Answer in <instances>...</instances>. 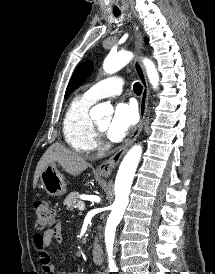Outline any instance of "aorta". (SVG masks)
Listing matches in <instances>:
<instances>
[{"label": "aorta", "instance_id": "762f6f07", "mask_svg": "<svg viewBox=\"0 0 215 274\" xmlns=\"http://www.w3.org/2000/svg\"><path fill=\"white\" fill-rule=\"evenodd\" d=\"M133 54L128 51H120L115 54H109L103 63V69L106 73L112 74L127 65L132 59ZM147 75L150 83L157 88L159 75L154 63L149 59H144ZM113 108L108 103H101L92 108L90 115L93 118H100L103 115H110ZM142 147L133 146L122 160L115 181V201L107 222L106 245L108 251V264L112 271H116V264L113 259V246L115 241L114 229L123 217L124 211L128 205L129 193L132 185L135 171L140 161Z\"/></svg>", "mask_w": 215, "mask_h": 274}]
</instances>
